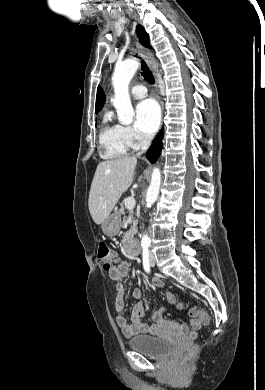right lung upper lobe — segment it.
<instances>
[{
	"label": "right lung upper lobe",
	"mask_w": 265,
	"mask_h": 390,
	"mask_svg": "<svg viewBox=\"0 0 265 390\" xmlns=\"http://www.w3.org/2000/svg\"><path fill=\"white\" fill-rule=\"evenodd\" d=\"M105 100L106 98H105L104 91L99 86L97 89V97H96V106H95L96 112H99L101 110V108L104 106Z\"/></svg>",
	"instance_id": "right-lung-upper-lobe-1"
}]
</instances>
